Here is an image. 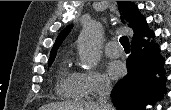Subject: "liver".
I'll use <instances>...</instances> for the list:
<instances>
[{"label":"liver","instance_id":"1","mask_svg":"<svg viewBox=\"0 0 171 110\" xmlns=\"http://www.w3.org/2000/svg\"><path fill=\"white\" fill-rule=\"evenodd\" d=\"M113 110V107H110ZM39 110H101L97 103L74 104L67 102H55L40 107Z\"/></svg>","mask_w":171,"mask_h":110}]
</instances>
